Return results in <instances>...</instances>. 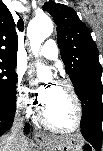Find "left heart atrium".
<instances>
[{"label": "left heart atrium", "instance_id": "left-heart-atrium-1", "mask_svg": "<svg viewBox=\"0 0 103 151\" xmlns=\"http://www.w3.org/2000/svg\"><path fill=\"white\" fill-rule=\"evenodd\" d=\"M53 86L54 85H49L40 89L39 91H33L35 93L36 99L42 106H45L49 102Z\"/></svg>", "mask_w": 103, "mask_h": 151}]
</instances>
